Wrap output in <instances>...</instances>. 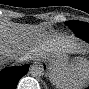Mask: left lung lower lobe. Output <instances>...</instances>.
Wrapping results in <instances>:
<instances>
[{
  "label": "left lung lower lobe",
  "instance_id": "obj_1",
  "mask_svg": "<svg viewBox=\"0 0 89 89\" xmlns=\"http://www.w3.org/2000/svg\"><path fill=\"white\" fill-rule=\"evenodd\" d=\"M78 37L89 42V30H78L74 32Z\"/></svg>",
  "mask_w": 89,
  "mask_h": 89
}]
</instances>
